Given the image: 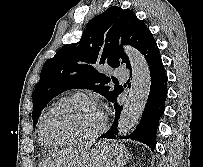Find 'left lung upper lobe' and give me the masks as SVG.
Masks as SVG:
<instances>
[{
    "mask_svg": "<svg viewBox=\"0 0 203 167\" xmlns=\"http://www.w3.org/2000/svg\"><path fill=\"white\" fill-rule=\"evenodd\" d=\"M154 38L132 10L109 7L94 17L77 43L62 47L42 68L33 97V125L46 105L69 89H90L115 103L122 86L111 89L110 78L99 72L101 66L130 68L122 45L129 44L142 53ZM121 41L122 45H119Z\"/></svg>",
    "mask_w": 203,
    "mask_h": 167,
    "instance_id": "1",
    "label": "left lung upper lobe"
}]
</instances>
